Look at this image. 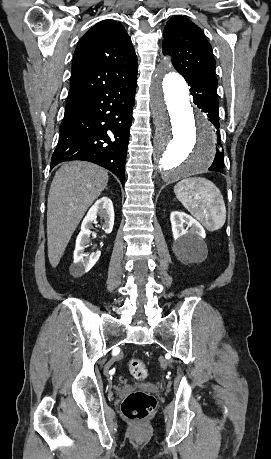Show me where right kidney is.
Masks as SVG:
<instances>
[{
  "instance_id": "right-kidney-1",
  "label": "right kidney",
  "mask_w": 271,
  "mask_h": 459,
  "mask_svg": "<svg viewBox=\"0 0 271 459\" xmlns=\"http://www.w3.org/2000/svg\"><path fill=\"white\" fill-rule=\"evenodd\" d=\"M97 216H103L105 220L104 231L105 233H111L114 226V210L110 198L104 196V198L97 200L82 222L81 231L78 233L76 239L74 261L69 267V271L73 277H81L83 273H87L101 255V251L84 253L85 247H88L87 243H90V229L93 228L92 224H95Z\"/></svg>"
}]
</instances>
